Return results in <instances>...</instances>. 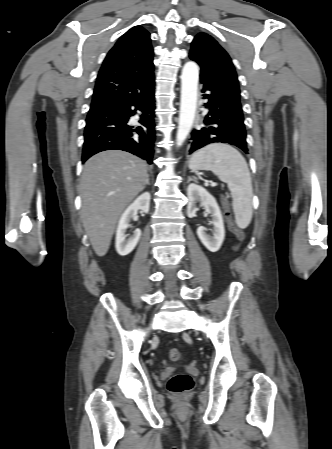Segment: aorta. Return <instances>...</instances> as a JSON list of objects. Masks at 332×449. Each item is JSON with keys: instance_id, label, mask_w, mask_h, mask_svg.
<instances>
[{"instance_id": "aorta-1", "label": "aorta", "mask_w": 332, "mask_h": 449, "mask_svg": "<svg viewBox=\"0 0 332 449\" xmlns=\"http://www.w3.org/2000/svg\"><path fill=\"white\" fill-rule=\"evenodd\" d=\"M199 67L196 63L187 62L181 74V100L179 125L176 135L177 147H180L189 135L196 113Z\"/></svg>"}]
</instances>
